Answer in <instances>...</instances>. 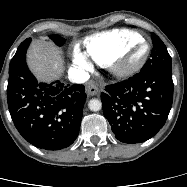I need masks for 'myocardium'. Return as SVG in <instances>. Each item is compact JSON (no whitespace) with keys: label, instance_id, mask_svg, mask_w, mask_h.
<instances>
[{"label":"myocardium","instance_id":"myocardium-1","mask_svg":"<svg viewBox=\"0 0 187 187\" xmlns=\"http://www.w3.org/2000/svg\"><path fill=\"white\" fill-rule=\"evenodd\" d=\"M139 44L146 45V51L139 61L134 64H128V58L131 51ZM151 53V44L145 38L127 44L118 53H116L106 64L107 69L118 78L130 77L142 69L146 64Z\"/></svg>","mask_w":187,"mask_h":187}]
</instances>
